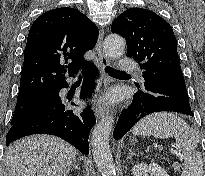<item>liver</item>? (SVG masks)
<instances>
[{
	"label": "liver",
	"instance_id": "1",
	"mask_svg": "<svg viewBox=\"0 0 205 176\" xmlns=\"http://www.w3.org/2000/svg\"><path fill=\"white\" fill-rule=\"evenodd\" d=\"M76 154L73 146L58 137L27 136L6 152L4 176H67Z\"/></svg>",
	"mask_w": 205,
	"mask_h": 176
}]
</instances>
